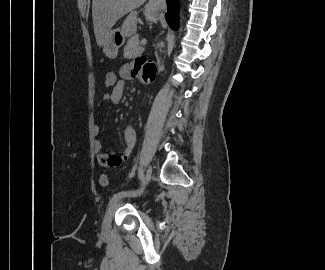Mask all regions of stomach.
<instances>
[{
	"label": "stomach",
	"instance_id": "obj_1",
	"mask_svg": "<svg viewBox=\"0 0 325 270\" xmlns=\"http://www.w3.org/2000/svg\"><path fill=\"white\" fill-rule=\"evenodd\" d=\"M160 16V12L147 6L145 9V17L148 21L157 22ZM125 35L122 30H112L109 32L107 40L103 45V51L105 55L109 58H115L118 53V49L125 42Z\"/></svg>",
	"mask_w": 325,
	"mask_h": 270
}]
</instances>
